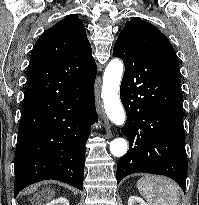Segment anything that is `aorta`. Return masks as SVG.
<instances>
[{
	"label": "aorta",
	"mask_w": 199,
	"mask_h": 205,
	"mask_svg": "<svg viewBox=\"0 0 199 205\" xmlns=\"http://www.w3.org/2000/svg\"><path fill=\"white\" fill-rule=\"evenodd\" d=\"M123 75V63L120 59H112L103 76L101 97L109 119L116 125L122 126L125 122V112L119 98V87ZM128 150L127 141L117 138L110 143V152L113 156L121 157Z\"/></svg>",
	"instance_id": "762f6f07"
}]
</instances>
